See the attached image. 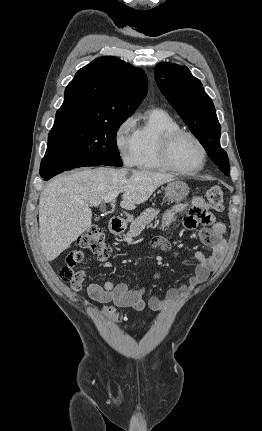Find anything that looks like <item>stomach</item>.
Here are the masks:
<instances>
[{
    "label": "stomach",
    "instance_id": "1",
    "mask_svg": "<svg viewBox=\"0 0 262 431\" xmlns=\"http://www.w3.org/2000/svg\"><path fill=\"white\" fill-rule=\"evenodd\" d=\"M189 190V186L185 182L178 179H173L165 187V197L170 202L178 203L183 201L188 196Z\"/></svg>",
    "mask_w": 262,
    "mask_h": 431
}]
</instances>
